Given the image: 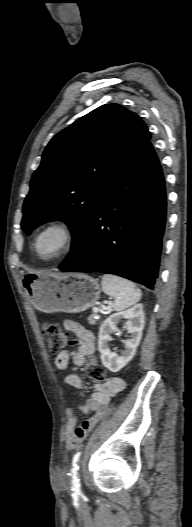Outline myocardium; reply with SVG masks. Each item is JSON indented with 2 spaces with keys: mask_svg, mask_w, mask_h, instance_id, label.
Listing matches in <instances>:
<instances>
[{
  "mask_svg": "<svg viewBox=\"0 0 192 527\" xmlns=\"http://www.w3.org/2000/svg\"><path fill=\"white\" fill-rule=\"evenodd\" d=\"M59 230L62 233V242L58 249L50 255H42L38 249L39 238L49 230ZM76 240L74 226L65 219H53L41 225L33 235L32 250L35 256L41 261H53L66 255L73 247Z\"/></svg>",
  "mask_w": 192,
  "mask_h": 527,
  "instance_id": "myocardium-1",
  "label": "myocardium"
}]
</instances>
